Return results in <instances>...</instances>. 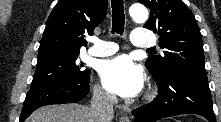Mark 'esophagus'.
<instances>
[{"instance_id": "esophagus-1", "label": "esophagus", "mask_w": 221, "mask_h": 122, "mask_svg": "<svg viewBox=\"0 0 221 122\" xmlns=\"http://www.w3.org/2000/svg\"><path fill=\"white\" fill-rule=\"evenodd\" d=\"M120 122H130L128 116L122 115L119 119Z\"/></svg>"}]
</instances>
